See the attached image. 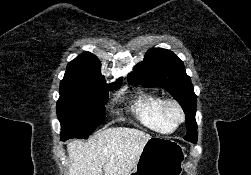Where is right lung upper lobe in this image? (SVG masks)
I'll return each mask as SVG.
<instances>
[{
  "label": "right lung upper lobe",
  "instance_id": "obj_1",
  "mask_svg": "<svg viewBox=\"0 0 251 175\" xmlns=\"http://www.w3.org/2000/svg\"><path fill=\"white\" fill-rule=\"evenodd\" d=\"M101 63L99 59L90 52H84L69 62L61 80V84L84 85L88 87H101L118 89L122 79L113 84H106L100 72Z\"/></svg>",
  "mask_w": 251,
  "mask_h": 175
}]
</instances>
